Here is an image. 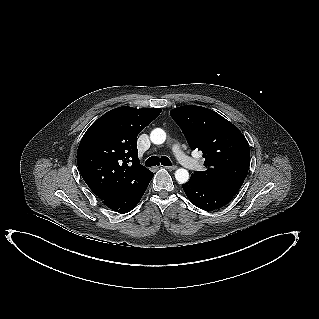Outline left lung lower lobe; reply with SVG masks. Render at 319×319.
<instances>
[{"instance_id":"1","label":"left lung lower lobe","mask_w":319,"mask_h":319,"mask_svg":"<svg viewBox=\"0 0 319 319\" xmlns=\"http://www.w3.org/2000/svg\"><path fill=\"white\" fill-rule=\"evenodd\" d=\"M182 186L191 203L204 210L219 209L228 204L235 196L193 177Z\"/></svg>"}]
</instances>
